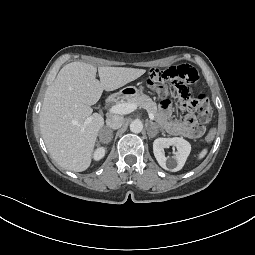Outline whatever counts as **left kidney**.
<instances>
[{
  "instance_id": "obj_1",
  "label": "left kidney",
  "mask_w": 255,
  "mask_h": 255,
  "mask_svg": "<svg viewBox=\"0 0 255 255\" xmlns=\"http://www.w3.org/2000/svg\"><path fill=\"white\" fill-rule=\"evenodd\" d=\"M175 146L177 151L171 158L165 156L164 148ZM191 151V145L182 137L157 138L153 142V153L159 165L169 171L182 169Z\"/></svg>"
}]
</instances>
